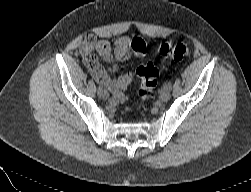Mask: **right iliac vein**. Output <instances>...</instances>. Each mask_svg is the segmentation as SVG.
<instances>
[{
	"instance_id": "63e3f726",
	"label": "right iliac vein",
	"mask_w": 251,
	"mask_h": 192,
	"mask_svg": "<svg viewBox=\"0 0 251 192\" xmlns=\"http://www.w3.org/2000/svg\"><path fill=\"white\" fill-rule=\"evenodd\" d=\"M100 96L103 99H108L109 98V93L106 90H104V91H102V93L100 94Z\"/></svg>"
}]
</instances>
